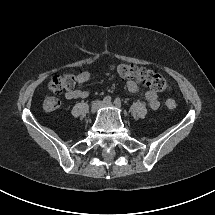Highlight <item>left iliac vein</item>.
<instances>
[{"instance_id": "1", "label": "left iliac vein", "mask_w": 215, "mask_h": 215, "mask_svg": "<svg viewBox=\"0 0 215 215\" xmlns=\"http://www.w3.org/2000/svg\"><path fill=\"white\" fill-rule=\"evenodd\" d=\"M103 106H112V103L111 102L104 103Z\"/></svg>"}]
</instances>
